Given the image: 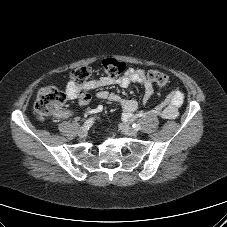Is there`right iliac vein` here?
Listing matches in <instances>:
<instances>
[{
	"label": "right iliac vein",
	"mask_w": 227,
	"mask_h": 227,
	"mask_svg": "<svg viewBox=\"0 0 227 227\" xmlns=\"http://www.w3.org/2000/svg\"><path fill=\"white\" fill-rule=\"evenodd\" d=\"M87 133H88V128L86 127H81V129L79 130V136L80 137H86L87 136Z\"/></svg>",
	"instance_id": "63e3f726"
}]
</instances>
